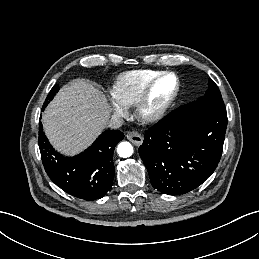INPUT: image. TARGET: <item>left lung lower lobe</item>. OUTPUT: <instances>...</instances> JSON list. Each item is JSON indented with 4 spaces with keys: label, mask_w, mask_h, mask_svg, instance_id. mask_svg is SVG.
<instances>
[{
    "label": "left lung lower lobe",
    "mask_w": 259,
    "mask_h": 259,
    "mask_svg": "<svg viewBox=\"0 0 259 259\" xmlns=\"http://www.w3.org/2000/svg\"><path fill=\"white\" fill-rule=\"evenodd\" d=\"M227 122L225 107L196 106L173 111L149 128L139 154L152 186L179 195L201 185L219 163Z\"/></svg>",
    "instance_id": "1"
}]
</instances>
